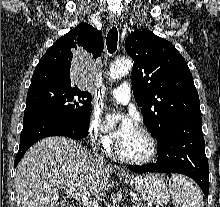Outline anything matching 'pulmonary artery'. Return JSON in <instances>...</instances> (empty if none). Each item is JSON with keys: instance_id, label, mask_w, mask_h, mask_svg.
<instances>
[{"instance_id": "e3ab8cb5", "label": "pulmonary artery", "mask_w": 220, "mask_h": 207, "mask_svg": "<svg viewBox=\"0 0 220 207\" xmlns=\"http://www.w3.org/2000/svg\"><path fill=\"white\" fill-rule=\"evenodd\" d=\"M112 97L120 104H127L131 99V88L128 82L122 83L111 91Z\"/></svg>"}]
</instances>
